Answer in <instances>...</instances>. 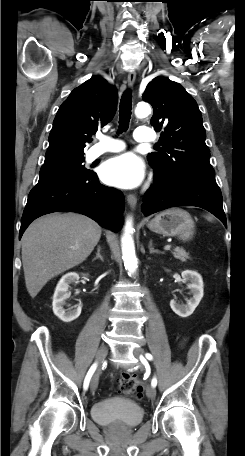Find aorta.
I'll return each mask as SVG.
<instances>
[{
	"label": "aorta",
	"mask_w": 245,
	"mask_h": 456,
	"mask_svg": "<svg viewBox=\"0 0 245 456\" xmlns=\"http://www.w3.org/2000/svg\"><path fill=\"white\" fill-rule=\"evenodd\" d=\"M135 114L139 118L147 117L151 114L150 105L145 102L137 104ZM133 230L134 229L132 219L129 218L125 224L124 233L121 238V246L124 266L128 270L130 275L135 273L137 269V258L135 254L134 240L132 237Z\"/></svg>",
	"instance_id": "762f6f07"
}]
</instances>
